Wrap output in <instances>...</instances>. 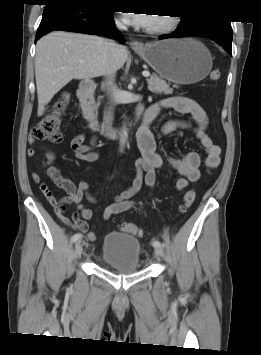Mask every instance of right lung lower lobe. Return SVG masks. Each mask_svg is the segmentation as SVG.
Segmentation results:
<instances>
[{
	"instance_id": "98d812e1",
	"label": "right lung lower lobe",
	"mask_w": 261,
	"mask_h": 355,
	"mask_svg": "<svg viewBox=\"0 0 261 355\" xmlns=\"http://www.w3.org/2000/svg\"><path fill=\"white\" fill-rule=\"evenodd\" d=\"M113 11L83 0L47 2L35 42L44 34L60 30L87 34L110 35L124 42L113 23Z\"/></svg>"
}]
</instances>
